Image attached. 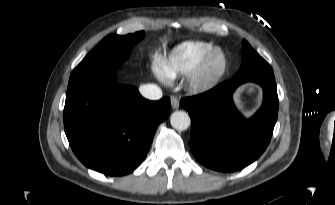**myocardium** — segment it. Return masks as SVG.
<instances>
[{"label": "myocardium", "instance_id": "1", "mask_svg": "<svg viewBox=\"0 0 335 205\" xmlns=\"http://www.w3.org/2000/svg\"><path fill=\"white\" fill-rule=\"evenodd\" d=\"M220 58L219 68L211 72L210 67L214 59ZM228 68L226 53L220 48H214L207 53L189 74V87L193 92L205 93L215 88L224 77Z\"/></svg>", "mask_w": 335, "mask_h": 205}]
</instances>
